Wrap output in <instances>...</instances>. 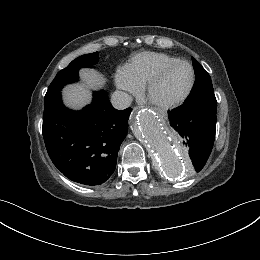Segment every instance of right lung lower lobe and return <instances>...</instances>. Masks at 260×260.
<instances>
[{
    "instance_id": "98d812e1",
    "label": "right lung lower lobe",
    "mask_w": 260,
    "mask_h": 260,
    "mask_svg": "<svg viewBox=\"0 0 260 260\" xmlns=\"http://www.w3.org/2000/svg\"><path fill=\"white\" fill-rule=\"evenodd\" d=\"M131 108L115 109L105 91L93 93L83 110L67 109L60 92L44 98L43 138L53 164L80 184L104 183L116 168Z\"/></svg>"
}]
</instances>
